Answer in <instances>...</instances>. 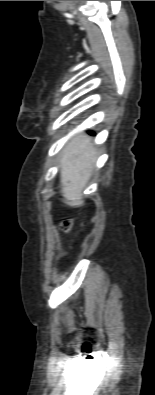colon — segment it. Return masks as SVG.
I'll use <instances>...</instances> for the list:
<instances>
[{
	"label": "colon",
	"mask_w": 155,
	"mask_h": 395,
	"mask_svg": "<svg viewBox=\"0 0 155 395\" xmlns=\"http://www.w3.org/2000/svg\"><path fill=\"white\" fill-rule=\"evenodd\" d=\"M72 227H73V225H72V222L71 221H65V222H63V224H62V229L65 231V232H70L71 230H72Z\"/></svg>",
	"instance_id": "obj_1"
}]
</instances>
